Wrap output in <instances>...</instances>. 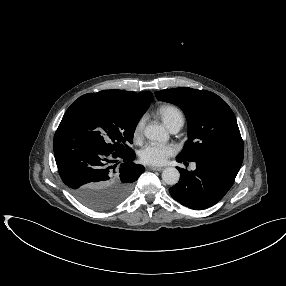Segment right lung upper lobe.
<instances>
[{"label": "right lung upper lobe", "mask_w": 286, "mask_h": 286, "mask_svg": "<svg viewBox=\"0 0 286 286\" xmlns=\"http://www.w3.org/2000/svg\"><path fill=\"white\" fill-rule=\"evenodd\" d=\"M97 94L106 95L126 104L147 109L149 104L154 100L152 93L149 91L135 93L123 90H103Z\"/></svg>", "instance_id": "1"}]
</instances>
